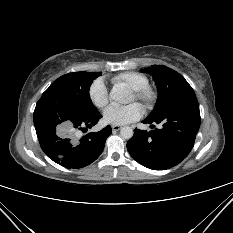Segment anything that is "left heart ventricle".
Here are the masks:
<instances>
[{
    "mask_svg": "<svg viewBox=\"0 0 233 233\" xmlns=\"http://www.w3.org/2000/svg\"><path fill=\"white\" fill-rule=\"evenodd\" d=\"M135 100V97L134 95L132 94L131 97H130V101H134Z\"/></svg>",
    "mask_w": 233,
    "mask_h": 233,
    "instance_id": "b2bd125f",
    "label": "left heart ventricle"
}]
</instances>
